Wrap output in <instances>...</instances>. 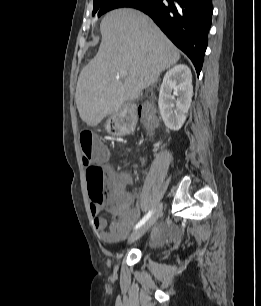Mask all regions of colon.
<instances>
[{
    "label": "colon",
    "instance_id": "1",
    "mask_svg": "<svg viewBox=\"0 0 261 306\" xmlns=\"http://www.w3.org/2000/svg\"><path fill=\"white\" fill-rule=\"evenodd\" d=\"M128 117H134L142 121L147 127H151L153 117L147 106H136L129 111ZM128 117H121L119 121L122 125H126ZM79 142L81 147V157L86 167L88 190L93 198L102 197L109 192V184L111 176L100 165L94 163L95 160H105L107 157V149L103 146L94 144L93 133L84 130L80 133Z\"/></svg>",
    "mask_w": 261,
    "mask_h": 306
}]
</instances>
